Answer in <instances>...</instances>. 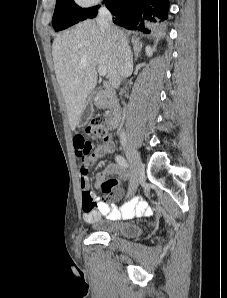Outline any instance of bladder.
Masks as SVG:
<instances>
[{
  "instance_id": "1",
  "label": "bladder",
  "mask_w": 227,
  "mask_h": 298,
  "mask_svg": "<svg viewBox=\"0 0 227 298\" xmlns=\"http://www.w3.org/2000/svg\"><path fill=\"white\" fill-rule=\"evenodd\" d=\"M91 226L96 232L128 239L139 237L143 232L139 225L127 221L99 219L94 221Z\"/></svg>"
}]
</instances>
